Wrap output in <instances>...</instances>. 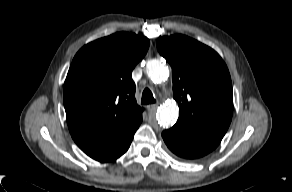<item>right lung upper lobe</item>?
<instances>
[{
	"label": "right lung upper lobe",
	"mask_w": 292,
	"mask_h": 192,
	"mask_svg": "<svg viewBox=\"0 0 292 192\" xmlns=\"http://www.w3.org/2000/svg\"><path fill=\"white\" fill-rule=\"evenodd\" d=\"M149 40L119 32L83 46L75 55L63 91L72 138L105 136L142 119L131 73L145 56Z\"/></svg>",
	"instance_id": "cb5924a9"
}]
</instances>
